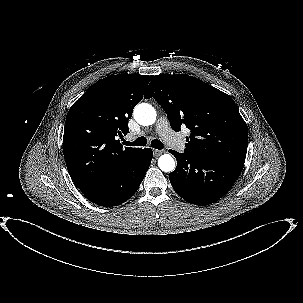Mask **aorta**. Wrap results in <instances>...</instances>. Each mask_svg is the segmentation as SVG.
<instances>
[{
	"mask_svg": "<svg viewBox=\"0 0 303 303\" xmlns=\"http://www.w3.org/2000/svg\"><path fill=\"white\" fill-rule=\"evenodd\" d=\"M133 114L135 120L143 126L154 124L157 116L154 107L147 103L138 104ZM158 166L164 172H172L175 169V161L171 155L164 154L159 157Z\"/></svg>",
	"mask_w": 303,
	"mask_h": 303,
	"instance_id": "1",
	"label": "aorta"
}]
</instances>
